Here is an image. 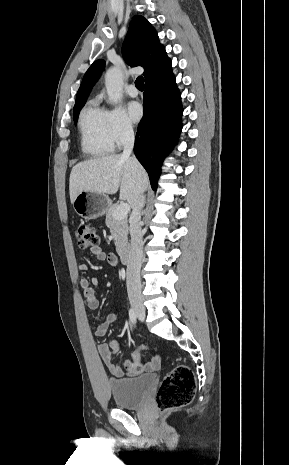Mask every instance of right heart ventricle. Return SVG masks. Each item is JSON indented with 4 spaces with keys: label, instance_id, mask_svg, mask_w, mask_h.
<instances>
[{
    "label": "right heart ventricle",
    "instance_id": "right-heart-ventricle-1",
    "mask_svg": "<svg viewBox=\"0 0 289 465\" xmlns=\"http://www.w3.org/2000/svg\"><path fill=\"white\" fill-rule=\"evenodd\" d=\"M78 130L82 152L89 157L111 153L114 144L107 127V111L97 100L90 101L80 112Z\"/></svg>",
    "mask_w": 289,
    "mask_h": 465
}]
</instances>
